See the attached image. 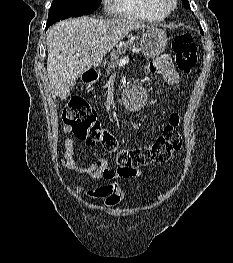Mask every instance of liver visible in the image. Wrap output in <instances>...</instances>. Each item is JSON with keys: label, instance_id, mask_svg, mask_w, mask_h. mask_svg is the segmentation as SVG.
Returning <instances> with one entry per match:
<instances>
[{"label": "liver", "instance_id": "1", "mask_svg": "<svg viewBox=\"0 0 233 263\" xmlns=\"http://www.w3.org/2000/svg\"><path fill=\"white\" fill-rule=\"evenodd\" d=\"M145 28L149 26L128 17L70 18L50 27L46 38L47 74L54 93L66 99L78 76L101 63L128 33Z\"/></svg>", "mask_w": 233, "mask_h": 263}]
</instances>
